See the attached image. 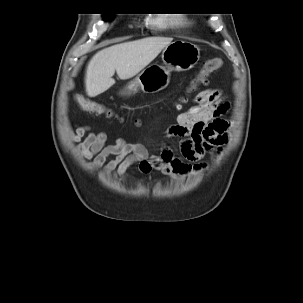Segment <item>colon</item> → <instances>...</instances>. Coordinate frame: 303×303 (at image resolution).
Returning a JSON list of instances; mask_svg holds the SVG:
<instances>
[{
    "label": "colon",
    "mask_w": 303,
    "mask_h": 303,
    "mask_svg": "<svg viewBox=\"0 0 303 303\" xmlns=\"http://www.w3.org/2000/svg\"><path fill=\"white\" fill-rule=\"evenodd\" d=\"M222 60L219 58H212L207 60L198 75L194 77V79L190 82L188 86V93L193 92L201 85H204L207 82L209 75L222 67ZM76 104L79 108L87 112H93L98 114H104L108 117L116 118L114 112L107 107V105L103 101L93 100L89 97H77Z\"/></svg>",
    "instance_id": "5ec220e1"
}]
</instances>
